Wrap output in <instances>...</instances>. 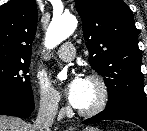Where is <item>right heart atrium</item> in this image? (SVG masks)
Instances as JSON below:
<instances>
[{
	"label": "right heart atrium",
	"mask_w": 147,
	"mask_h": 131,
	"mask_svg": "<svg viewBox=\"0 0 147 131\" xmlns=\"http://www.w3.org/2000/svg\"><path fill=\"white\" fill-rule=\"evenodd\" d=\"M37 95L40 111L49 116H55L61 112L60 97L45 82L37 81Z\"/></svg>",
	"instance_id": "d8ad5b80"
}]
</instances>
